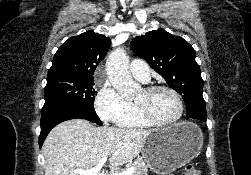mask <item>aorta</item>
Here are the masks:
<instances>
[{
	"label": "aorta",
	"mask_w": 251,
	"mask_h": 175,
	"mask_svg": "<svg viewBox=\"0 0 251 175\" xmlns=\"http://www.w3.org/2000/svg\"><path fill=\"white\" fill-rule=\"evenodd\" d=\"M106 72L108 80L123 97L133 95L136 89L141 88L140 84H135L129 72V58L123 48H116L110 54L106 62Z\"/></svg>",
	"instance_id": "aorta-1"
}]
</instances>
